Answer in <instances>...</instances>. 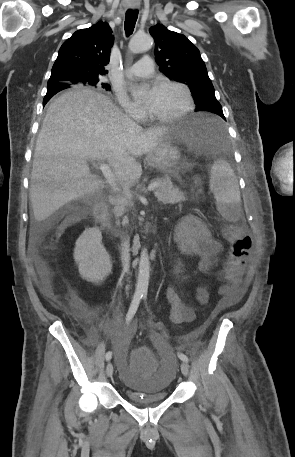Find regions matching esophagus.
I'll list each match as a JSON object with an SVG mask.
<instances>
[{
  "label": "esophagus",
  "mask_w": 295,
  "mask_h": 457,
  "mask_svg": "<svg viewBox=\"0 0 295 457\" xmlns=\"http://www.w3.org/2000/svg\"><path fill=\"white\" fill-rule=\"evenodd\" d=\"M130 7H131L132 9H136V8H137L136 5H132V6H130Z\"/></svg>",
  "instance_id": "obj_1"
}]
</instances>
